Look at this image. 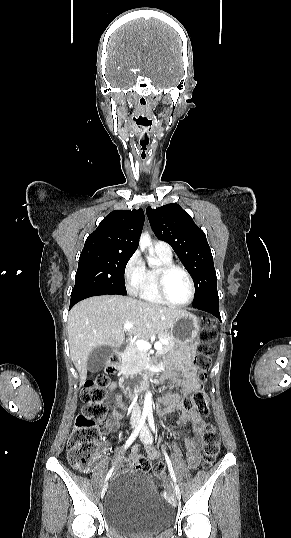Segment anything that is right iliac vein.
Masks as SVG:
<instances>
[{
  "label": "right iliac vein",
  "instance_id": "1",
  "mask_svg": "<svg viewBox=\"0 0 291 538\" xmlns=\"http://www.w3.org/2000/svg\"><path fill=\"white\" fill-rule=\"evenodd\" d=\"M136 425H137V421L134 420V421L132 422V427L134 428ZM107 487H108V484H105V485L103 486L102 491H101V497H103V496L105 495V493H106V491H107Z\"/></svg>",
  "mask_w": 291,
  "mask_h": 538
}]
</instances>
